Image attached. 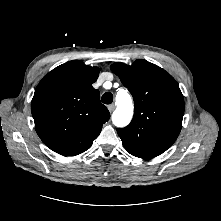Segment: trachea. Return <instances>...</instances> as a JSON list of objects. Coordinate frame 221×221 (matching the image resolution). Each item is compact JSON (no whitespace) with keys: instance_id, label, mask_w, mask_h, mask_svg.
<instances>
[{"instance_id":"3493384b","label":"trachea","mask_w":221,"mask_h":221,"mask_svg":"<svg viewBox=\"0 0 221 221\" xmlns=\"http://www.w3.org/2000/svg\"><path fill=\"white\" fill-rule=\"evenodd\" d=\"M102 102L104 104H111L113 102V95L110 92H106L103 94L101 98Z\"/></svg>"}]
</instances>
